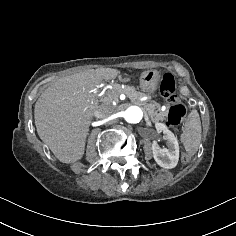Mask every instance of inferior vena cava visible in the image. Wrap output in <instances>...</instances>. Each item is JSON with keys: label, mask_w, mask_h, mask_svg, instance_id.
I'll use <instances>...</instances> for the list:
<instances>
[{"label": "inferior vena cava", "mask_w": 236, "mask_h": 236, "mask_svg": "<svg viewBox=\"0 0 236 236\" xmlns=\"http://www.w3.org/2000/svg\"><path fill=\"white\" fill-rule=\"evenodd\" d=\"M101 115H102V114L100 113L99 110H94V111H93V116H94V117H98V118H99Z\"/></svg>", "instance_id": "obj_1"}]
</instances>
